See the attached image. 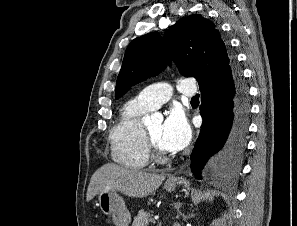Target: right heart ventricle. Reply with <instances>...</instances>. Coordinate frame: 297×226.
I'll return each mask as SVG.
<instances>
[{"mask_svg": "<svg viewBox=\"0 0 297 226\" xmlns=\"http://www.w3.org/2000/svg\"><path fill=\"white\" fill-rule=\"evenodd\" d=\"M150 110L137 98L129 100L122 107L110 133L111 155L118 164L133 169H142L148 164L149 153L141 118Z\"/></svg>", "mask_w": 297, "mask_h": 226, "instance_id": "obj_1", "label": "right heart ventricle"}]
</instances>
